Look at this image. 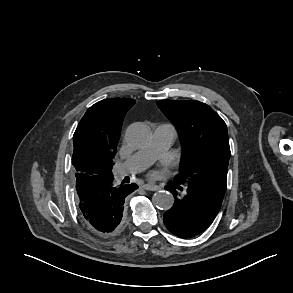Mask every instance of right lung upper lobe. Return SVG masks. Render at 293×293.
<instances>
[{
  "mask_svg": "<svg viewBox=\"0 0 293 293\" xmlns=\"http://www.w3.org/2000/svg\"><path fill=\"white\" fill-rule=\"evenodd\" d=\"M135 102L112 98L87 110L73 136L72 164L76 173L92 175L102 164L112 167L124 114Z\"/></svg>",
  "mask_w": 293,
  "mask_h": 293,
  "instance_id": "cb5924a9",
  "label": "right lung upper lobe"
}]
</instances>
